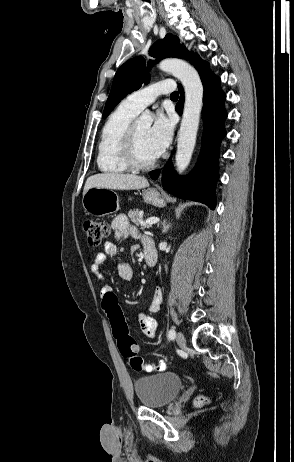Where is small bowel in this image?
<instances>
[{
  "label": "small bowel",
  "instance_id": "c3829d8e",
  "mask_svg": "<svg viewBox=\"0 0 294 462\" xmlns=\"http://www.w3.org/2000/svg\"><path fill=\"white\" fill-rule=\"evenodd\" d=\"M112 229L115 233V242H107L104 245L103 252H100L96 255L95 259L91 264V272L95 275L99 280H104L105 277L101 272V267L103 263L109 257H116L118 254V245L117 242L127 238L130 235H135L136 232L129 223L127 217L125 215H118L112 221ZM150 241L149 239H144L143 244L145 242ZM151 242V241H150ZM117 271L119 277L124 281H130L133 279L134 272L131 265L127 262L121 261L118 263ZM112 289L108 284H104L100 289V294L104 297L106 294L111 293ZM162 290L157 288L153 293L147 309L143 312H140L138 315V320L140 323V327L142 332L149 338H154L157 331V321L151 316L152 313H155L159 310L161 303H162ZM167 368V362L165 359H158L155 362H144L143 366L140 370H145L147 372L153 371H164Z\"/></svg>",
  "mask_w": 294,
  "mask_h": 462
}]
</instances>
